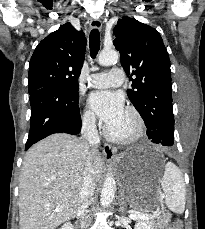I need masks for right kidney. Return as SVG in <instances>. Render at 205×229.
<instances>
[{"instance_id": "ca27d5eb", "label": "right kidney", "mask_w": 205, "mask_h": 229, "mask_svg": "<svg viewBox=\"0 0 205 229\" xmlns=\"http://www.w3.org/2000/svg\"><path fill=\"white\" fill-rule=\"evenodd\" d=\"M60 229H73V226L70 222H67Z\"/></svg>"}]
</instances>
